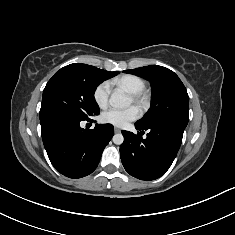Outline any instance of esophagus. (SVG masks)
<instances>
[{
  "label": "esophagus",
  "instance_id": "obj_1",
  "mask_svg": "<svg viewBox=\"0 0 235 235\" xmlns=\"http://www.w3.org/2000/svg\"><path fill=\"white\" fill-rule=\"evenodd\" d=\"M114 132L119 133V132H121V129H119L118 127H114Z\"/></svg>",
  "mask_w": 235,
  "mask_h": 235
}]
</instances>
